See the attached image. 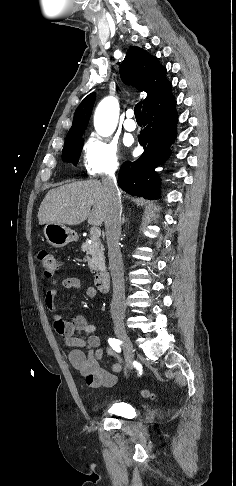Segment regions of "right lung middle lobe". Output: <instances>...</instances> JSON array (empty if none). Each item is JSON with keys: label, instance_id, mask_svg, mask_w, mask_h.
<instances>
[{"label": "right lung middle lobe", "instance_id": "right-lung-middle-lobe-1", "mask_svg": "<svg viewBox=\"0 0 236 486\" xmlns=\"http://www.w3.org/2000/svg\"><path fill=\"white\" fill-rule=\"evenodd\" d=\"M82 147L83 139L81 138L74 142L66 143L62 152L63 161L72 162L74 165H77Z\"/></svg>", "mask_w": 236, "mask_h": 486}]
</instances>
